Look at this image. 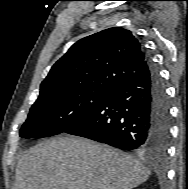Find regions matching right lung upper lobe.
<instances>
[{
    "instance_id": "cb5924a9",
    "label": "right lung upper lobe",
    "mask_w": 188,
    "mask_h": 189,
    "mask_svg": "<svg viewBox=\"0 0 188 189\" xmlns=\"http://www.w3.org/2000/svg\"><path fill=\"white\" fill-rule=\"evenodd\" d=\"M148 72L147 55L129 31L115 27L71 46L42 81L40 95L117 87Z\"/></svg>"
}]
</instances>
